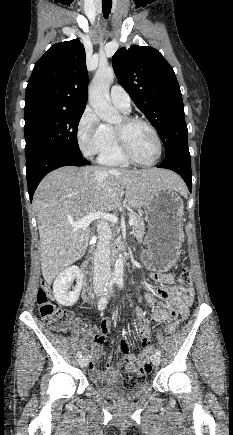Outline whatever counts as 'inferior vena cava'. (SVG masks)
Returning a JSON list of instances; mask_svg holds the SVG:
<instances>
[{
  "label": "inferior vena cava",
  "mask_w": 233,
  "mask_h": 435,
  "mask_svg": "<svg viewBox=\"0 0 233 435\" xmlns=\"http://www.w3.org/2000/svg\"><path fill=\"white\" fill-rule=\"evenodd\" d=\"M98 243L94 253V289H102L111 277L110 240L112 232L108 224L99 221L97 224Z\"/></svg>",
  "instance_id": "1"
}]
</instances>
